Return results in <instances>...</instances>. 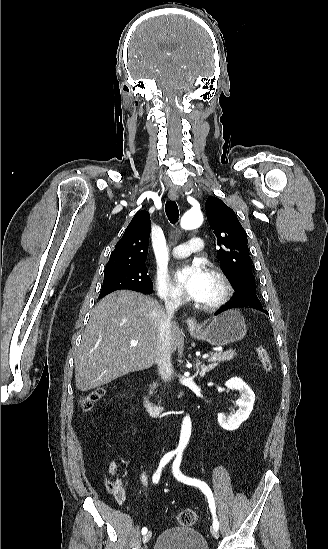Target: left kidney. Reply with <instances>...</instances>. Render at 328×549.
<instances>
[{"label":"left kidney","mask_w":328,"mask_h":549,"mask_svg":"<svg viewBox=\"0 0 328 549\" xmlns=\"http://www.w3.org/2000/svg\"><path fill=\"white\" fill-rule=\"evenodd\" d=\"M225 387L239 391L240 397L235 401L238 411L234 415H229V417H225L224 413H219L217 419L220 427H223L226 431H235L243 421L248 419L253 409L255 395L250 387L242 379H238V377H233V379L226 381Z\"/></svg>","instance_id":"obj_1"}]
</instances>
